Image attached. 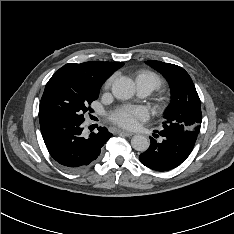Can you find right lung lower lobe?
Returning a JSON list of instances; mask_svg holds the SVG:
<instances>
[{
    "instance_id": "98d812e1",
    "label": "right lung lower lobe",
    "mask_w": 234,
    "mask_h": 234,
    "mask_svg": "<svg viewBox=\"0 0 234 234\" xmlns=\"http://www.w3.org/2000/svg\"><path fill=\"white\" fill-rule=\"evenodd\" d=\"M84 120L51 119L40 123L41 133L51 157L62 166L79 170L93 163L102 146L112 136L105 127L84 137Z\"/></svg>"
}]
</instances>
